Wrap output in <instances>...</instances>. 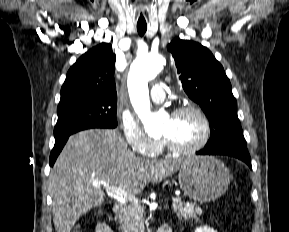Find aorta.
I'll use <instances>...</instances> for the list:
<instances>
[{
    "instance_id": "obj_1",
    "label": "aorta",
    "mask_w": 289,
    "mask_h": 232,
    "mask_svg": "<svg viewBox=\"0 0 289 232\" xmlns=\"http://www.w3.org/2000/svg\"><path fill=\"white\" fill-rule=\"evenodd\" d=\"M165 59L159 54L139 56L132 63L128 75V91L132 105L150 136L162 132L161 116L150 111L148 81L163 69Z\"/></svg>"
}]
</instances>
